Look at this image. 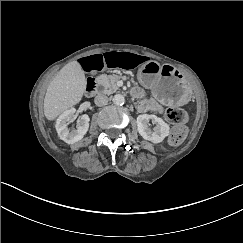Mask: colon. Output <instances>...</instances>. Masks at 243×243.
Returning <instances> with one entry per match:
<instances>
[{"instance_id": "colon-1", "label": "colon", "mask_w": 243, "mask_h": 243, "mask_svg": "<svg viewBox=\"0 0 243 243\" xmlns=\"http://www.w3.org/2000/svg\"><path fill=\"white\" fill-rule=\"evenodd\" d=\"M167 120L173 124L172 131L169 136V143L171 145L181 144L187 136V113L180 108H168L166 110Z\"/></svg>"}]
</instances>
